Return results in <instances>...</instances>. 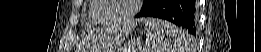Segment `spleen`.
I'll list each match as a JSON object with an SVG mask.
<instances>
[{
  "label": "spleen",
  "mask_w": 261,
  "mask_h": 52,
  "mask_svg": "<svg viewBox=\"0 0 261 52\" xmlns=\"http://www.w3.org/2000/svg\"><path fill=\"white\" fill-rule=\"evenodd\" d=\"M142 22L147 35L145 52H194L191 37L172 23L153 18Z\"/></svg>",
  "instance_id": "1"
}]
</instances>
